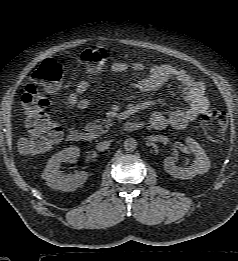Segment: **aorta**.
Returning a JSON list of instances; mask_svg holds the SVG:
<instances>
[{
	"mask_svg": "<svg viewBox=\"0 0 238 261\" xmlns=\"http://www.w3.org/2000/svg\"><path fill=\"white\" fill-rule=\"evenodd\" d=\"M137 148V141L134 138H127L124 141V149L128 152H133Z\"/></svg>",
	"mask_w": 238,
	"mask_h": 261,
	"instance_id": "aorta-1",
	"label": "aorta"
}]
</instances>
